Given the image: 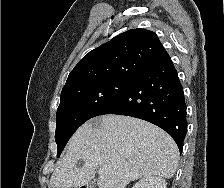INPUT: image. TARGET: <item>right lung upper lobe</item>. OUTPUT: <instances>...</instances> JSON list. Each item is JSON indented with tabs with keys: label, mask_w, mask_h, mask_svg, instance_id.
Masks as SVG:
<instances>
[{
	"label": "right lung upper lobe",
	"mask_w": 224,
	"mask_h": 188,
	"mask_svg": "<svg viewBox=\"0 0 224 188\" xmlns=\"http://www.w3.org/2000/svg\"><path fill=\"white\" fill-rule=\"evenodd\" d=\"M169 57L154 32L131 29L85 55L70 72L63 89L106 79H133Z\"/></svg>",
	"instance_id": "obj_1"
}]
</instances>
